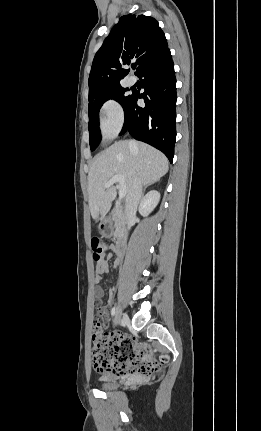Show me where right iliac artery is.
Returning a JSON list of instances; mask_svg holds the SVG:
<instances>
[{
    "mask_svg": "<svg viewBox=\"0 0 261 431\" xmlns=\"http://www.w3.org/2000/svg\"><path fill=\"white\" fill-rule=\"evenodd\" d=\"M115 314H116V308H115V307H113V308H112V310H111V315L114 317V316H115Z\"/></svg>",
    "mask_w": 261,
    "mask_h": 431,
    "instance_id": "right-iliac-artery-1",
    "label": "right iliac artery"
}]
</instances>
